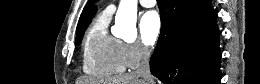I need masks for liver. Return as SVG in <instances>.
Masks as SVG:
<instances>
[{"label":"liver","instance_id":"obj_1","mask_svg":"<svg viewBox=\"0 0 260 84\" xmlns=\"http://www.w3.org/2000/svg\"><path fill=\"white\" fill-rule=\"evenodd\" d=\"M86 84H148L143 78H140L136 73L126 75H118L103 79H87Z\"/></svg>","mask_w":260,"mask_h":84}]
</instances>
